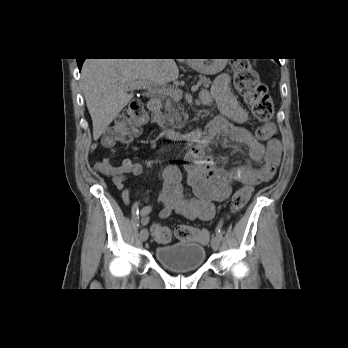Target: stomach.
Masks as SVG:
<instances>
[{
	"label": "stomach",
	"mask_w": 348,
	"mask_h": 348,
	"mask_svg": "<svg viewBox=\"0 0 348 348\" xmlns=\"http://www.w3.org/2000/svg\"><path fill=\"white\" fill-rule=\"evenodd\" d=\"M226 63V59H194L191 65L203 75H215L224 69Z\"/></svg>",
	"instance_id": "stomach-1"
}]
</instances>
